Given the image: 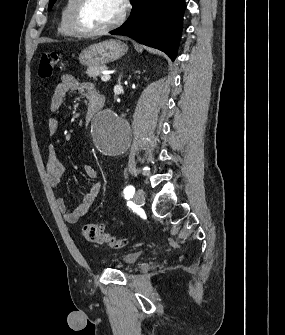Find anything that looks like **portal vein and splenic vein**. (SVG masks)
I'll return each mask as SVG.
<instances>
[{
    "mask_svg": "<svg viewBox=\"0 0 285 335\" xmlns=\"http://www.w3.org/2000/svg\"><path fill=\"white\" fill-rule=\"evenodd\" d=\"M100 74H103V76H101L102 82H107V80H110L111 78V72H100Z\"/></svg>",
    "mask_w": 285,
    "mask_h": 335,
    "instance_id": "obj_1",
    "label": "portal vein and splenic vein"
}]
</instances>
